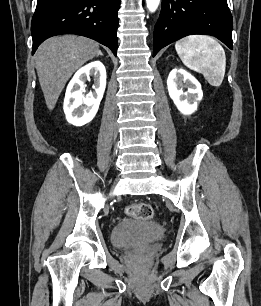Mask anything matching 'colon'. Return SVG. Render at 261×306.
I'll return each mask as SVG.
<instances>
[{
  "label": "colon",
  "instance_id": "colon-1",
  "mask_svg": "<svg viewBox=\"0 0 261 306\" xmlns=\"http://www.w3.org/2000/svg\"><path fill=\"white\" fill-rule=\"evenodd\" d=\"M125 212L128 216L137 219L150 220L154 216V210L152 206L147 203L130 204L125 208Z\"/></svg>",
  "mask_w": 261,
  "mask_h": 306
}]
</instances>
